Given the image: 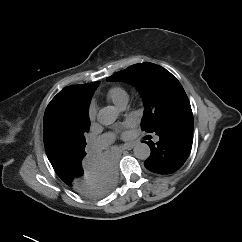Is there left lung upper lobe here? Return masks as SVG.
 <instances>
[{
    "label": "left lung upper lobe",
    "instance_id": "1",
    "mask_svg": "<svg viewBox=\"0 0 242 242\" xmlns=\"http://www.w3.org/2000/svg\"><path fill=\"white\" fill-rule=\"evenodd\" d=\"M136 86L144 101L142 130L153 132L173 116L191 110L188 97L180 82L166 69L153 63L132 65L107 78Z\"/></svg>",
    "mask_w": 242,
    "mask_h": 242
}]
</instances>
